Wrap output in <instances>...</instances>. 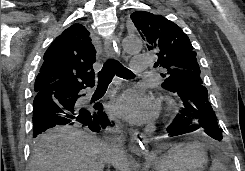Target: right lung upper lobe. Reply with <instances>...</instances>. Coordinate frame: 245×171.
<instances>
[{
    "mask_svg": "<svg viewBox=\"0 0 245 171\" xmlns=\"http://www.w3.org/2000/svg\"><path fill=\"white\" fill-rule=\"evenodd\" d=\"M89 35L83 25L74 24L51 43L35 80L36 93L94 85L96 51Z\"/></svg>",
    "mask_w": 245,
    "mask_h": 171,
    "instance_id": "1",
    "label": "right lung upper lobe"
}]
</instances>
